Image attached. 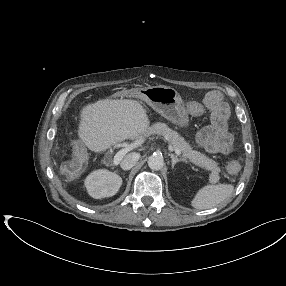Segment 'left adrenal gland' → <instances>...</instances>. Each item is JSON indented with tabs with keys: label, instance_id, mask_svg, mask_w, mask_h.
<instances>
[{
	"label": "left adrenal gland",
	"instance_id": "1",
	"mask_svg": "<svg viewBox=\"0 0 286 286\" xmlns=\"http://www.w3.org/2000/svg\"><path fill=\"white\" fill-rule=\"evenodd\" d=\"M170 156V158L172 159V168H174V166L176 165V163L178 162H184L185 159L183 158H178L177 155H174V154H168Z\"/></svg>",
	"mask_w": 286,
	"mask_h": 286
}]
</instances>
